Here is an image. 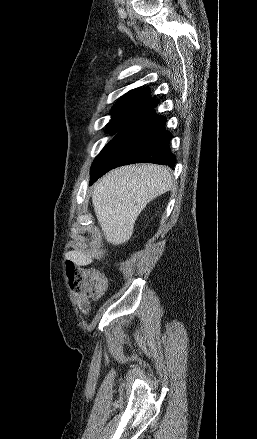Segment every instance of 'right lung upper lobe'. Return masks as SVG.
Returning a JSON list of instances; mask_svg holds the SVG:
<instances>
[{"instance_id": "1", "label": "right lung upper lobe", "mask_w": 257, "mask_h": 439, "mask_svg": "<svg viewBox=\"0 0 257 439\" xmlns=\"http://www.w3.org/2000/svg\"><path fill=\"white\" fill-rule=\"evenodd\" d=\"M158 103L150 98L148 88H137L126 93L111 109L112 119L131 121Z\"/></svg>"}]
</instances>
